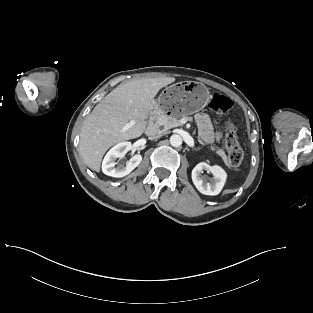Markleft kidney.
Masks as SVG:
<instances>
[{
	"label": "left kidney",
	"mask_w": 313,
	"mask_h": 313,
	"mask_svg": "<svg viewBox=\"0 0 313 313\" xmlns=\"http://www.w3.org/2000/svg\"><path fill=\"white\" fill-rule=\"evenodd\" d=\"M203 170L213 174V179L206 182L202 176ZM226 172L219 166H210L205 162L197 164L192 170V181L199 192L205 195H218L226 181Z\"/></svg>",
	"instance_id": "left-kidney-1"
}]
</instances>
